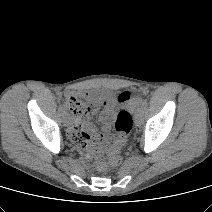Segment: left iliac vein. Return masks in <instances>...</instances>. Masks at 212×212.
<instances>
[{
	"label": "left iliac vein",
	"mask_w": 212,
	"mask_h": 212,
	"mask_svg": "<svg viewBox=\"0 0 212 212\" xmlns=\"http://www.w3.org/2000/svg\"><path fill=\"white\" fill-rule=\"evenodd\" d=\"M143 119V108L139 106L134 115V121L137 126H140Z\"/></svg>",
	"instance_id": "1"
}]
</instances>
